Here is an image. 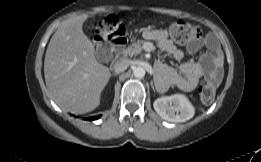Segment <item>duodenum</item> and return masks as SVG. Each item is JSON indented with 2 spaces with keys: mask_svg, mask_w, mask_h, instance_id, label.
Returning <instances> with one entry per match:
<instances>
[{
  "mask_svg": "<svg viewBox=\"0 0 261 162\" xmlns=\"http://www.w3.org/2000/svg\"><path fill=\"white\" fill-rule=\"evenodd\" d=\"M125 43H126V42H125ZM125 43H121V44H118V45H114V46H113L114 51H116V52H118V53H121V52L124 50Z\"/></svg>",
  "mask_w": 261,
  "mask_h": 162,
  "instance_id": "obj_1",
  "label": "duodenum"
}]
</instances>
